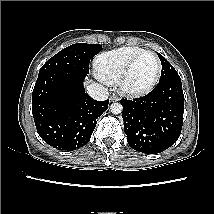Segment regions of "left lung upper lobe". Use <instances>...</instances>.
Wrapping results in <instances>:
<instances>
[{
	"mask_svg": "<svg viewBox=\"0 0 214 214\" xmlns=\"http://www.w3.org/2000/svg\"><path fill=\"white\" fill-rule=\"evenodd\" d=\"M158 56L162 64V72L159 81L169 79V78H179L177 71L174 67L161 55L158 53Z\"/></svg>",
	"mask_w": 214,
	"mask_h": 214,
	"instance_id": "5c2ea615",
	"label": "left lung upper lobe"
}]
</instances>
